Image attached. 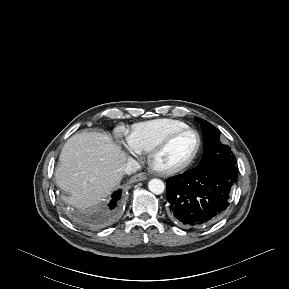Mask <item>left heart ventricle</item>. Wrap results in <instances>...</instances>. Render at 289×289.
I'll return each instance as SVG.
<instances>
[{
  "instance_id": "left-heart-ventricle-1",
  "label": "left heart ventricle",
  "mask_w": 289,
  "mask_h": 289,
  "mask_svg": "<svg viewBox=\"0 0 289 289\" xmlns=\"http://www.w3.org/2000/svg\"><path fill=\"white\" fill-rule=\"evenodd\" d=\"M197 137L192 132L176 136L157 156L156 163L160 167H172L186 161L195 151Z\"/></svg>"
}]
</instances>
